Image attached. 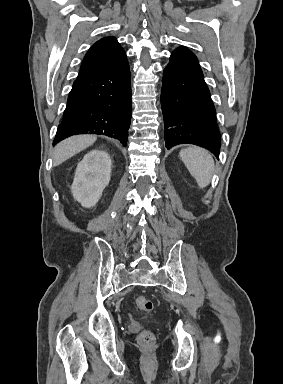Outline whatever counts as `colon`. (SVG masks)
I'll return each mask as SVG.
<instances>
[{
    "label": "colon",
    "instance_id": "1",
    "mask_svg": "<svg viewBox=\"0 0 283 384\" xmlns=\"http://www.w3.org/2000/svg\"><path fill=\"white\" fill-rule=\"evenodd\" d=\"M135 304L141 311L150 313L153 310V303L145 296H137ZM138 340L140 344L148 346L154 342V335L151 331L145 330L139 334Z\"/></svg>",
    "mask_w": 283,
    "mask_h": 384
}]
</instances>
